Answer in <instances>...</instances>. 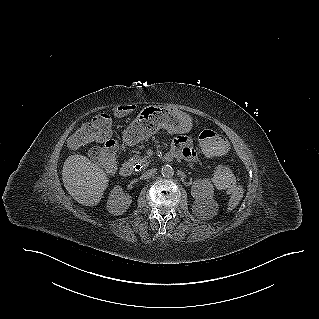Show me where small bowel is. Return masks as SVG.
<instances>
[{"mask_svg": "<svg viewBox=\"0 0 319 319\" xmlns=\"http://www.w3.org/2000/svg\"><path fill=\"white\" fill-rule=\"evenodd\" d=\"M115 114L120 117H126L130 113V108L127 104H120L115 107ZM173 156H181L191 162L197 161V154L191 146V139L187 136L176 137L171 146Z\"/></svg>", "mask_w": 319, "mask_h": 319, "instance_id": "small-bowel-1", "label": "small bowel"}]
</instances>
